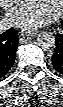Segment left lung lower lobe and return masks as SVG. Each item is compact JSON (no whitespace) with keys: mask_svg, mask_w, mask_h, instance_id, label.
Here are the masks:
<instances>
[{"mask_svg":"<svg viewBox=\"0 0 63 107\" xmlns=\"http://www.w3.org/2000/svg\"><path fill=\"white\" fill-rule=\"evenodd\" d=\"M63 30V22H62ZM56 51L52 56V64L59 73L63 74V32L56 37Z\"/></svg>","mask_w":63,"mask_h":107,"instance_id":"left-lung-lower-lobe-1","label":"left lung lower lobe"}]
</instances>
